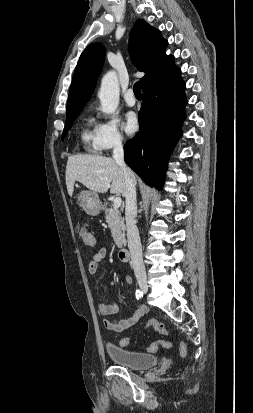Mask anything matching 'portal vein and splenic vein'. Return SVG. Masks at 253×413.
<instances>
[{"instance_id":"portal-vein-and-splenic-vein-1","label":"portal vein and splenic vein","mask_w":253,"mask_h":413,"mask_svg":"<svg viewBox=\"0 0 253 413\" xmlns=\"http://www.w3.org/2000/svg\"><path fill=\"white\" fill-rule=\"evenodd\" d=\"M122 200L120 197H116L113 201V205L115 208H119L121 206Z\"/></svg>"}]
</instances>
